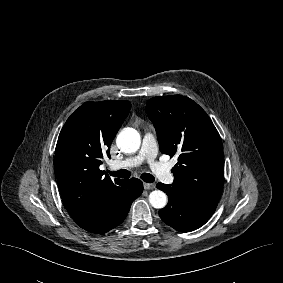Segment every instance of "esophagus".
Here are the masks:
<instances>
[{"instance_id":"34e87169","label":"esophagus","mask_w":283,"mask_h":283,"mask_svg":"<svg viewBox=\"0 0 283 283\" xmlns=\"http://www.w3.org/2000/svg\"><path fill=\"white\" fill-rule=\"evenodd\" d=\"M155 188L154 184L144 183L145 190H153Z\"/></svg>"}]
</instances>
